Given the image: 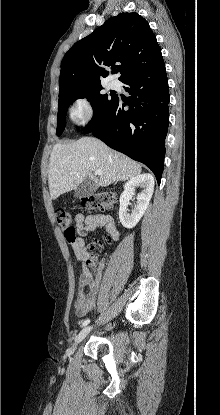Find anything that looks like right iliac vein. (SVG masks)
I'll return each mask as SVG.
<instances>
[{
    "label": "right iliac vein",
    "instance_id": "1",
    "mask_svg": "<svg viewBox=\"0 0 220 415\" xmlns=\"http://www.w3.org/2000/svg\"><path fill=\"white\" fill-rule=\"evenodd\" d=\"M92 326H87L85 328H83L78 335L75 338V341L71 347V349L69 350V353H72L75 351V349L77 348V346L86 338V336L90 333V331L92 330Z\"/></svg>",
    "mask_w": 220,
    "mask_h": 415
}]
</instances>
